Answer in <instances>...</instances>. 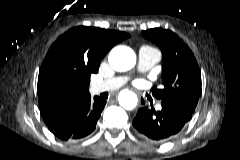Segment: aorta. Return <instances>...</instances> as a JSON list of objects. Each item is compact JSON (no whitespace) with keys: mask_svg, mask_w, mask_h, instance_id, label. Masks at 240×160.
Listing matches in <instances>:
<instances>
[{"mask_svg":"<svg viewBox=\"0 0 240 160\" xmlns=\"http://www.w3.org/2000/svg\"><path fill=\"white\" fill-rule=\"evenodd\" d=\"M108 61L112 69L119 72L128 71L136 63L134 51L127 46H117L109 53ZM119 104L126 110H132L136 107L137 95L129 90H123L118 97Z\"/></svg>","mask_w":240,"mask_h":160,"instance_id":"aorta-1","label":"aorta"}]
</instances>
